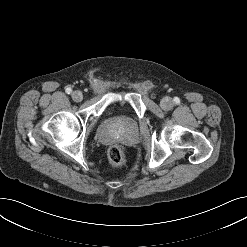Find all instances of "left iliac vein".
I'll return each instance as SVG.
<instances>
[{
	"label": "left iliac vein",
	"instance_id": "1",
	"mask_svg": "<svg viewBox=\"0 0 247 247\" xmlns=\"http://www.w3.org/2000/svg\"><path fill=\"white\" fill-rule=\"evenodd\" d=\"M160 106L164 110H170L173 107V101L169 98H164L161 100Z\"/></svg>",
	"mask_w": 247,
	"mask_h": 247
}]
</instances>
